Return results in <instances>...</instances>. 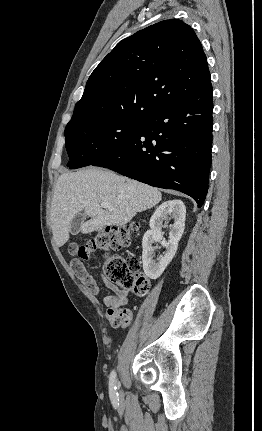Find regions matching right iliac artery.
I'll return each mask as SVG.
<instances>
[{
  "instance_id": "right-iliac-artery-1",
  "label": "right iliac artery",
  "mask_w": 262,
  "mask_h": 431,
  "mask_svg": "<svg viewBox=\"0 0 262 431\" xmlns=\"http://www.w3.org/2000/svg\"><path fill=\"white\" fill-rule=\"evenodd\" d=\"M109 395L112 401H116L118 398L117 377L115 371H112L110 374Z\"/></svg>"
}]
</instances>
